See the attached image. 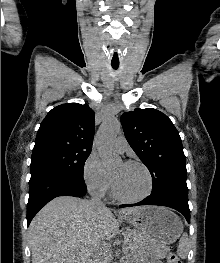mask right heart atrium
Wrapping results in <instances>:
<instances>
[{
  "mask_svg": "<svg viewBox=\"0 0 220 263\" xmlns=\"http://www.w3.org/2000/svg\"><path fill=\"white\" fill-rule=\"evenodd\" d=\"M82 178L85 186L92 194L105 193L111 184L110 174L95 152H91L85 159L82 167Z\"/></svg>",
  "mask_w": 220,
  "mask_h": 263,
  "instance_id": "d8ad5b80",
  "label": "right heart atrium"
}]
</instances>
